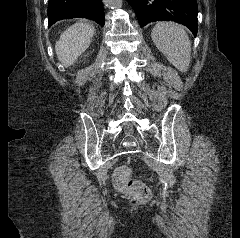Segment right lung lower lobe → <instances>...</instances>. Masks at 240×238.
<instances>
[{"label":"right lung lower lobe","mask_w":240,"mask_h":238,"mask_svg":"<svg viewBox=\"0 0 240 238\" xmlns=\"http://www.w3.org/2000/svg\"><path fill=\"white\" fill-rule=\"evenodd\" d=\"M69 18H87L103 26L105 16L101 0H49V27L59 20Z\"/></svg>","instance_id":"98d812e1"}]
</instances>
